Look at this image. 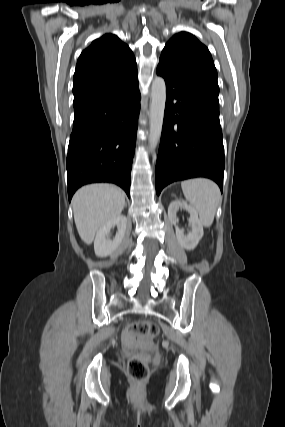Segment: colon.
<instances>
[{"label": "colon", "mask_w": 285, "mask_h": 427, "mask_svg": "<svg viewBox=\"0 0 285 427\" xmlns=\"http://www.w3.org/2000/svg\"><path fill=\"white\" fill-rule=\"evenodd\" d=\"M158 332V326L151 321L132 323L123 332L125 346L131 349H138L129 359L127 366L128 375L135 383H141L148 377V362L151 358L153 342Z\"/></svg>", "instance_id": "obj_1"}]
</instances>
